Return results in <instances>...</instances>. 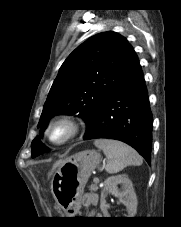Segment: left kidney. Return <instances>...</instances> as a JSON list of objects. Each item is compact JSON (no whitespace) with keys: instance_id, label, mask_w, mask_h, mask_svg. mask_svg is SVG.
<instances>
[{"instance_id":"left-kidney-1","label":"left kidney","mask_w":181,"mask_h":227,"mask_svg":"<svg viewBox=\"0 0 181 227\" xmlns=\"http://www.w3.org/2000/svg\"><path fill=\"white\" fill-rule=\"evenodd\" d=\"M118 184L122 185V190L118 189ZM108 193L114 194L126 206L128 213L126 217H134L137 211V196L133 184L126 174L111 176L105 180L100 200V208L104 217H110L108 213L109 205L105 200Z\"/></svg>"}]
</instances>
